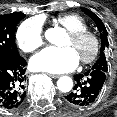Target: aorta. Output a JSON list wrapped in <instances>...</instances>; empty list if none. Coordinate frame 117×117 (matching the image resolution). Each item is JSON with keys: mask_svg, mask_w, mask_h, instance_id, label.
<instances>
[{"mask_svg": "<svg viewBox=\"0 0 117 117\" xmlns=\"http://www.w3.org/2000/svg\"><path fill=\"white\" fill-rule=\"evenodd\" d=\"M64 34L65 32L62 28L55 27L48 29L45 33V37L52 44H58L59 40L64 36ZM57 87L63 93L69 92L73 87V81L68 76H62L57 81Z\"/></svg>", "mask_w": 117, "mask_h": 117, "instance_id": "1", "label": "aorta"}]
</instances>
